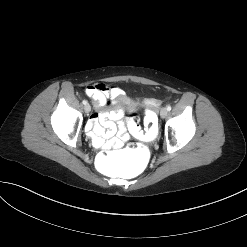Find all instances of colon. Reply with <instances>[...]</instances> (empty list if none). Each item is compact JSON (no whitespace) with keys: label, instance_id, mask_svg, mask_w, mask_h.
Returning a JSON list of instances; mask_svg holds the SVG:
<instances>
[{"label":"colon","instance_id":"obj_1","mask_svg":"<svg viewBox=\"0 0 247 247\" xmlns=\"http://www.w3.org/2000/svg\"><path fill=\"white\" fill-rule=\"evenodd\" d=\"M142 116L147 122L149 134H144L142 127L138 125V117L134 112L128 113L130 134L135 137L127 146L117 152L111 148L100 149L94 158V169L100 175L126 179L143 174L152 160V151L146 145H155L160 139V127L158 120L151 111L153 104L146 100L143 102Z\"/></svg>","mask_w":247,"mask_h":247}]
</instances>
